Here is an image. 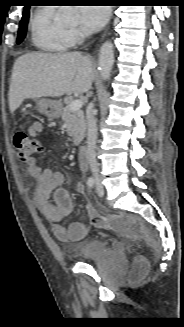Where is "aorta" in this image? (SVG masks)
Masks as SVG:
<instances>
[{
  "mask_svg": "<svg viewBox=\"0 0 184 327\" xmlns=\"http://www.w3.org/2000/svg\"><path fill=\"white\" fill-rule=\"evenodd\" d=\"M113 64L114 47L110 41H106L100 47L98 58L99 71L103 80H108L110 78Z\"/></svg>",
  "mask_w": 184,
  "mask_h": 327,
  "instance_id": "obj_1",
  "label": "aorta"
}]
</instances>
